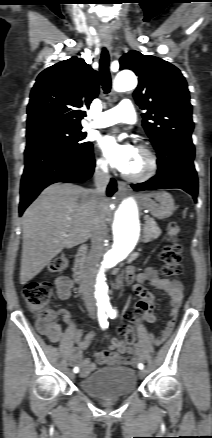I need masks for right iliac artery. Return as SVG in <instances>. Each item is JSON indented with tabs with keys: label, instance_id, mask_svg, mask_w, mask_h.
I'll return each mask as SVG.
<instances>
[{
	"label": "right iliac artery",
	"instance_id": "1",
	"mask_svg": "<svg viewBox=\"0 0 212 438\" xmlns=\"http://www.w3.org/2000/svg\"><path fill=\"white\" fill-rule=\"evenodd\" d=\"M98 320L100 323V326L102 327V329H105L108 327V322H107V316L105 314V309H99L98 310ZM74 373H78L79 372V368L75 367L73 369Z\"/></svg>",
	"mask_w": 212,
	"mask_h": 438
}]
</instances>
